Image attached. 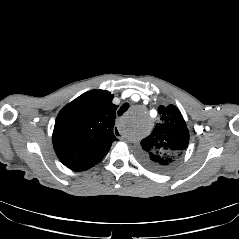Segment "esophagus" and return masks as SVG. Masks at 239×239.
<instances>
[{"label": "esophagus", "mask_w": 239, "mask_h": 239, "mask_svg": "<svg viewBox=\"0 0 239 239\" xmlns=\"http://www.w3.org/2000/svg\"><path fill=\"white\" fill-rule=\"evenodd\" d=\"M114 133H115V135H116L119 139L122 140V139L124 138V135L121 134L118 125H115V126H114Z\"/></svg>", "instance_id": "34e87169"}]
</instances>
